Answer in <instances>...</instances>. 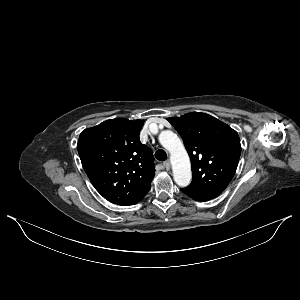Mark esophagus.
I'll list each match as a JSON object with an SVG mask.
<instances>
[{"label": "esophagus", "mask_w": 300, "mask_h": 300, "mask_svg": "<svg viewBox=\"0 0 300 300\" xmlns=\"http://www.w3.org/2000/svg\"><path fill=\"white\" fill-rule=\"evenodd\" d=\"M163 166H164V168H165L166 170H169V169H170V162H169V161H165V162L163 163Z\"/></svg>", "instance_id": "1"}]
</instances>
